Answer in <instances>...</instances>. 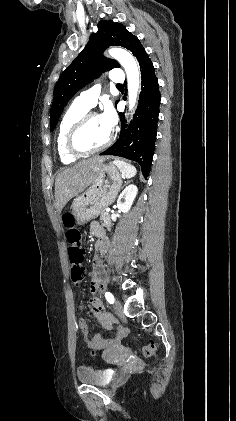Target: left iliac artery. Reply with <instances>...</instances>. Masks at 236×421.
Instances as JSON below:
<instances>
[{
  "mask_svg": "<svg viewBox=\"0 0 236 421\" xmlns=\"http://www.w3.org/2000/svg\"><path fill=\"white\" fill-rule=\"evenodd\" d=\"M105 297H106V300L110 303V304H113L114 303V296H113V294L112 293H110V292H106L105 293Z\"/></svg>",
  "mask_w": 236,
  "mask_h": 421,
  "instance_id": "44dca946",
  "label": "left iliac artery"
}]
</instances>
